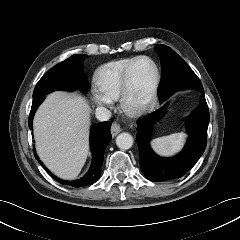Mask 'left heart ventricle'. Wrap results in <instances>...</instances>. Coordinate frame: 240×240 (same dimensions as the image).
Here are the masks:
<instances>
[{
    "label": "left heart ventricle",
    "mask_w": 240,
    "mask_h": 240,
    "mask_svg": "<svg viewBox=\"0 0 240 240\" xmlns=\"http://www.w3.org/2000/svg\"><path fill=\"white\" fill-rule=\"evenodd\" d=\"M155 80V68L148 60L140 61L131 76L132 101L142 100L151 90Z\"/></svg>",
    "instance_id": "b2bd125f"
}]
</instances>
